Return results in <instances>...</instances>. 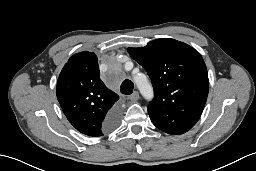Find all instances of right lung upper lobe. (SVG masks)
I'll return each instance as SVG.
<instances>
[{
	"instance_id": "obj_1",
	"label": "right lung upper lobe",
	"mask_w": 256,
	"mask_h": 171,
	"mask_svg": "<svg viewBox=\"0 0 256 171\" xmlns=\"http://www.w3.org/2000/svg\"><path fill=\"white\" fill-rule=\"evenodd\" d=\"M57 99L68 121L88 136H102L104 123L119 96L100 80L97 56L80 52L70 57L57 82Z\"/></svg>"
}]
</instances>
